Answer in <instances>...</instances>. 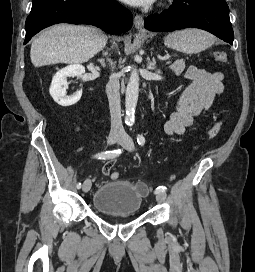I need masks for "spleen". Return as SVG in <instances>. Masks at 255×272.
Listing matches in <instances>:
<instances>
[{
    "label": "spleen",
    "mask_w": 255,
    "mask_h": 272,
    "mask_svg": "<svg viewBox=\"0 0 255 272\" xmlns=\"http://www.w3.org/2000/svg\"><path fill=\"white\" fill-rule=\"evenodd\" d=\"M166 45L186 54H196L214 42V37L200 29H184L169 33L165 38Z\"/></svg>",
    "instance_id": "3e777b00"
}]
</instances>
